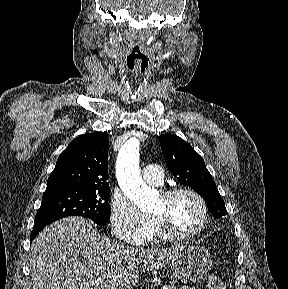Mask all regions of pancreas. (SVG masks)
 Wrapping results in <instances>:
<instances>
[{"instance_id": "obj_1", "label": "pancreas", "mask_w": 288, "mask_h": 289, "mask_svg": "<svg viewBox=\"0 0 288 289\" xmlns=\"http://www.w3.org/2000/svg\"><path fill=\"white\" fill-rule=\"evenodd\" d=\"M167 289H196L195 287H188V286H175V285H168Z\"/></svg>"}]
</instances>
